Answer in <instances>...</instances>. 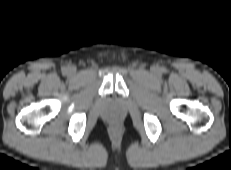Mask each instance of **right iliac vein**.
Returning <instances> with one entry per match:
<instances>
[{
	"label": "right iliac vein",
	"mask_w": 231,
	"mask_h": 170,
	"mask_svg": "<svg viewBox=\"0 0 231 170\" xmlns=\"http://www.w3.org/2000/svg\"><path fill=\"white\" fill-rule=\"evenodd\" d=\"M76 67L75 66H69L68 68H67V73L69 74V75H75V73H76Z\"/></svg>",
	"instance_id": "1"
}]
</instances>
